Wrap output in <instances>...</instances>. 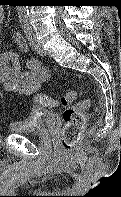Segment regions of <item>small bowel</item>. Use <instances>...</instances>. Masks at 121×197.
I'll use <instances>...</instances> for the list:
<instances>
[{
	"label": "small bowel",
	"instance_id": "c3829d8e",
	"mask_svg": "<svg viewBox=\"0 0 121 197\" xmlns=\"http://www.w3.org/2000/svg\"><path fill=\"white\" fill-rule=\"evenodd\" d=\"M5 13L0 8V25L4 22ZM19 52L6 50L0 52V84L6 91L31 95L47 81L49 73L37 57L26 56L28 47L20 34L13 36ZM27 70L23 69V57Z\"/></svg>",
	"mask_w": 121,
	"mask_h": 197
}]
</instances>
